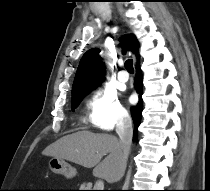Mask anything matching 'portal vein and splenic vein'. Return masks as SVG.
<instances>
[{
    "instance_id": "portal-vein-and-splenic-vein-1",
    "label": "portal vein and splenic vein",
    "mask_w": 210,
    "mask_h": 191,
    "mask_svg": "<svg viewBox=\"0 0 210 191\" xmlns=\"http://www.w3.org/2000/svg\"><path fill=\"white\" fill-rule=\"evenodd\" d=\"M104 188V183L102 180H98L94 186L95 190H103Z\"/></svg>"
}]
</instances>
